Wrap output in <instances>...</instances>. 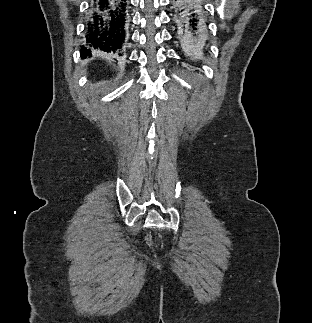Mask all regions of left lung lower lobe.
<instances>
[{
    "mask_svg": "<svg viewBox=\"0 0 312 323\" xmlns=\"http://www.w3.org/2000/svg\"><path fill=\"white\" fill-rule=\"evenodd\" d=\"M174 24L185 51L191 54L206 52L207 23L205 8L199 0H180L174 4Z\"/></svg>",
    "mask_w": 312,
    "mask_h": 323,
    "instance_id": "left-lung-lower-lobe-1",
    "label": "left lung lower lobe"
}]
</instances>
